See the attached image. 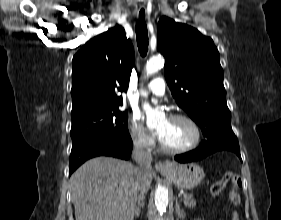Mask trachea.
<instances>
[{
  "label": "trachea",
  "instance_id": "1",
  "mask_svg": "<svg viewBox=\"0 0 281 220\" xmlns=\"http://www.w3.org/2000/svg\"><path fill=\"white\" fill-rule=\"evenodd\" d=\"M136 39L141 56H146L148 51V31L143 21H138L136 24Z\"/></svg>",
  "mask_w": 281,
  "mask_h": 220
}]
</instances>
